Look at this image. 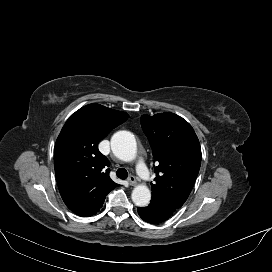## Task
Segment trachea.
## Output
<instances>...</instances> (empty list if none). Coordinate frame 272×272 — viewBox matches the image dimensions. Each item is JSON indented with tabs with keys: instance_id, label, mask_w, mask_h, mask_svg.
Listing matches in <instances>:
<instances>
[{
	"instance_id": "trachea-1",
	"label": "trachea",
	"mask_w": 272,
	"mask_h": 272,
	"mask_svg": "<svg viewBox=\"0 0 272 272\" xmlns=\"http://www.w3.org/2000/svg\"><path fill=\"white\" fill-rule=\"evenodd\" d=\"M116 175L118 178L124 180L128 177V172L126 169L124 168H119L117 171H116Z\"/></svg>"
}]
</instances>
